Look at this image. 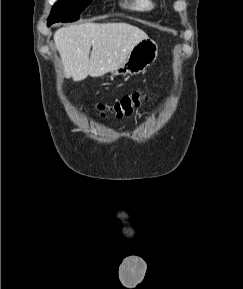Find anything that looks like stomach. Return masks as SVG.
Listing matches in <instances>:
<instances>
[{"mask_svg": "<svg viewBox=\"0 0 243 289\" xmlns=\"http://www.w3.org/2000/svg\"><path fill=\"white\" fill-rule=\"evenodd\" d=\"M157 56L156 42L149 38L143 39L133 47L125 62L110 72L113 76L140 74L156 60Z\"/></svg>", "mask_w": 243, "mask_h": 289, "instance_id": "stomach-1", "label": "stomach"}]
</instances>
